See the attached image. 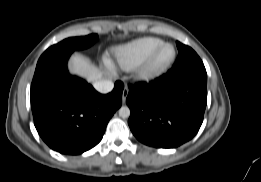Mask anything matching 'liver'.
Returning a JSON list of instances; mask_svg holds the SVG:
<instances>
[{"instance_id":"1","label":"liver","mask_w":261,"mask_h":182,"mask_svg":"<svg viewBox=\"0 0 261 182\" xmlns=\"http://www.w3.org/2000/svg\"><path fill=\"white\" fill-rule=\"evenodd\" d=\"M69 70L72 74L86 78L89 82L99 81L104 75L100 69L79 54L71 57Z\"/></svg>"}]
</instances>
